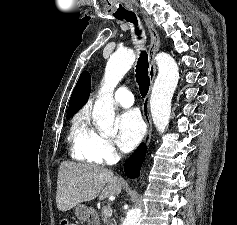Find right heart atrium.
<instances>
[{"label":"right heart atrium","mask_w":237,"mask_h":225,"mask_svg":"<svg viewBox=\"0 0 237 225\" xmlns=\"http://www.w3.org/2000/svg\"><path fill=\"white\" fill-rule=\"evenodd\" d=\"M90 149L95 159L102 164H113L119 157L113 140L95 130L90 139Z\"/></svg>","instance_id":"d8ad5b80"}]
</instances>
